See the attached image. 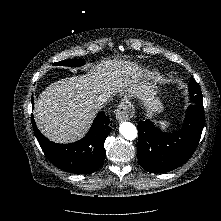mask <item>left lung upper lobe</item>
I'll use <instances>...</instances> for the list:
<instances>
[{
  "label": "left lung upper lobe",
  "mask_w": 221,
  "mask_h": 221,
  "mask_svg": "<svg viewBox=\"0 0 221 221\" xmlns=\"http://www.w3.org/2000/svg\"><path fill=\"white\" fill-rule=\"evenodd\" d=\"M189 91H190V94L192 95V98L194 96H202L200 86L195 81L194 78H191L190 80Z\"/></svg>",
  "instance_id": "obj_1"
}]
</instances>
